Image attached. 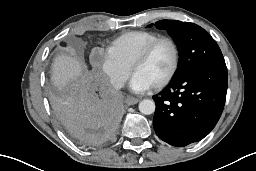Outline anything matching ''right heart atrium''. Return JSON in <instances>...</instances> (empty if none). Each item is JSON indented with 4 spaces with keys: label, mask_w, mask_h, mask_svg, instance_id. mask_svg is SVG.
Instances as JSON below:
<instances>
[{
    "label": "right heart atrium",
    "mask_w": 256,
    "mask_h": 171,
    "mask_svg": "<svg viewBox=\"0 0 256 171\" xmlns=\"http://www.w3.org/2000/svg\"><path fill=\"white\" fill-rule=\"evenodd\" d=\"M92 63L106 77L114 89H120L129 75V68L106 51L93 52Z\"/></svg>",
    "instance_id": "obj_1"
}]
</instances>
